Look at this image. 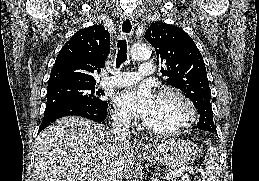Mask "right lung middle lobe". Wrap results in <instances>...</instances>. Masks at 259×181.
<instances>
[{
	"label": "right lung middle lobe",
	"instance_id": "obj_1",
	"mask_svg": "<svg viewBox=\"0 0 259 181\" xmlns=\"http://www.w3.org/2000/svg\"><path fill=\"white\" fill-rule=\"evenodd\" d=\"M102 92H95V84L61 83L47 87L45 112L64 104H84L101 107L107 102L99 98Z\"/></svg>",
	"mask_w": 259,
	"mask_h": 181
}]
</instances>
